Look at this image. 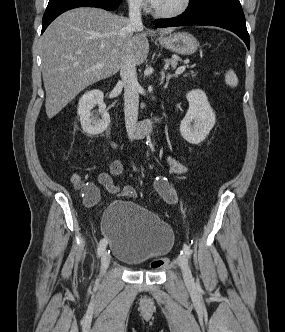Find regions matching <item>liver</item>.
<instances>
[{
  "label": "liver",
  "instance_id": "1",
  "mask_svg": "<svg viewBox=\"0 0 285 332\" xmlns=\"http://www.w3.org/2000/svg\"><path fill=\"white\" fill-rule=\"evenodd\" d=\"M143 25L98 8H76L57 17L42 36V77L49 119L88 86L109 78L130 56L136 65L147 59L149 43ZM173 28L158 30L169 34ZM136 33V34H134ZM102 63V68L96 64Z\"/></svg>",
  "mask_w": 285,
  "mask_h": 332
}]
</instances>
